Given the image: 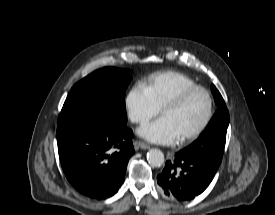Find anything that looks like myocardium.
<instances>
[{
  "label": "myocardium",
  "mask_w": 275,
  "mask_h": 215,
  "mask_svg": "<svg viewBox=\"0 0 275 215\" xmlns=\"http://www.w3.org/2000/svg\"><path fill=\"white\" fill-rule=\"evenodd\" d=\"M195 92H203L206 95V97L208 99V111H207V114H206L204 120L201 122V124L195 130H193L191 133H189L186 136L179 139L180 143H187L189 141L196 139L210 124V122L213 118V114H214V99H213L211 92L207 88L199 86V85L188 87V88L181 90L174 97L169 99L161 108V113L163 114V112L166 109L174 108V107L181 105L188 96H190L191 94H193Z\"/></svg>",
  "instance_id": "1"
}]
</instances>
